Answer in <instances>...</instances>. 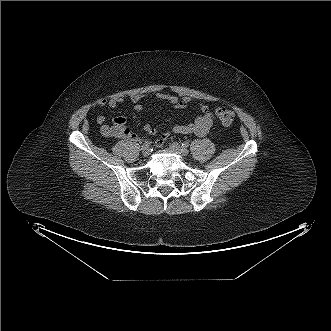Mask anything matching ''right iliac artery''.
Listing matches in <instances>:
<instances>
[{"mask_svg":"<svg viewBox=\"0 0 331 331\" xmlns=\"http://www.w3.org/2000/svg\"><path fill=\"white\" fill-rule=\"evenodd\" d=\"M150 144H151V142H148V141L144 142V144L142 145V149L149 147Z\"/></svg>","mask_w":331,"mask_h":331,"instance_id":"1","label":"right iliac artery"}]
</instances>
